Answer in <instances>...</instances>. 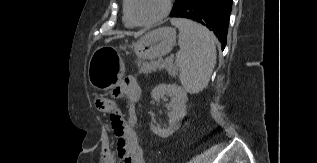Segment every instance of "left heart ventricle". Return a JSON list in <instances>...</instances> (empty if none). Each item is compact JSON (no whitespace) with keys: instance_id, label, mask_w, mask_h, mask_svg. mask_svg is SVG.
Returning <instances> with one entry per match:
<instances>
[{"instance_id":"left-heart-ventricle-1","label":"left heart ventricle","mask_w":317,"mask_h":163,"mask_svg":"<svg viewBox=\"0 0 317 163\" xmlns=\"http://www.w3.org/2000/svg\"><path fill=\"white\" fill-rule=\"evenodd\" d=\"M164 0H132V11L140 21L157 17L163 10Z\"/></svg>"}]
</instances>
